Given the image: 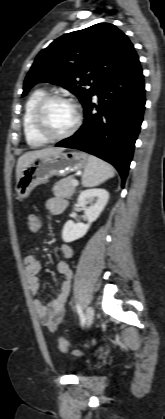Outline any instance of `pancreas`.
Wrapping results in <instances>:
<instances>
[{
    "instance_id": "obj_1",
    "label": "pancreas",
    "mask_w": 165,
    "mask_h": 419,
    "mask_svg": "<svg viewBox=\"0 0 165 419\" xmlns=\"http://www.w3.org/2000/svg\"><path fill=\"white\" fill-rule=\"evenodd\" d=\"M73 180L74 178L69 176L56 182L52 188L53 194L57 197L69 199L76 190V187L72 185Z\"/></svg>"
}]
</instances>
